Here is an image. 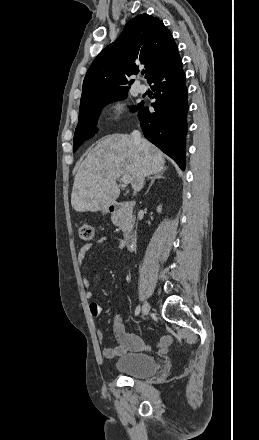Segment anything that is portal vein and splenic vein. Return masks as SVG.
I'll list each match as a JSON object with an SVG mask.
<instances>
[{
    "label": "portal vein and splenic vein",
    "mask_w": 259,
    "mask_h": 440,
    "mask_svg": "<svg viewBox=\"0 0 259 440\" xmlns=\"http://www.w3.org/2000/svg\"><path fill=\"white\" fill-rule=\"evenodd\" d=\"M121 179L124 184H129L132 181V177L127 174L122 175Z\"/></svg>",
    "instance_id": "obj_1"
}]
</instances>
